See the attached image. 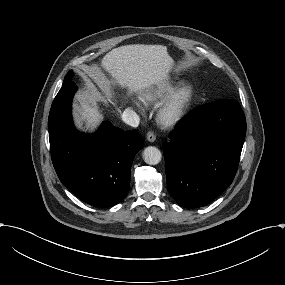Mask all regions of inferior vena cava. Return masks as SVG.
<instances>
[{"label":"inferior vena cava","instance_id":"obj_1","mask_svg":"<svg viewBox=\"0 0 285 285\" xmlns=\"http://www.w3.org/2000/svg\"><path fill=\"white\" fill-rule=\"evenodd\" d=\"M123 121L128 125L136 128L139 126L140 118L131 108H126L122 115Z\"/></svg>","mask_w":285,"mask_h":285}]
</instances>
